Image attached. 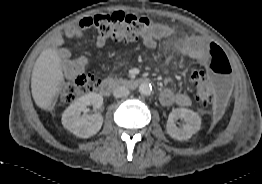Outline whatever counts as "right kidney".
<instances>
[{
    "label": "right kidney",
    "instance_id": "ca27d5eb",
    "mask_svg": "<svg viewBox=\"0 0 262 184\" xmlns=\"http://www.w3.org/2000/svg\"><path fill=\"white\" fill-rule=\"evenodd\" d=\"M102 104L103 97L94 92L80 97L63 112L62 124L64 128L80 138H88L95 135L103 124L102 115L96 113L81 116V113L90 105L95 109H99Z\"/></svg>",
    "mask_w": 262,
    "mask_h": 184
}]
</instances>
